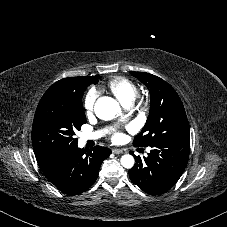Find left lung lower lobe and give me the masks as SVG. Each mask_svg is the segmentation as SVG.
<instances>
[{
  "label": "left lung lower lobe",
  "instance_id": "left-lung-lower-lobe-1",
  "mask_svg": "<svg viewBox=\"0 0 227 227\" xmlns=\"http://www.w3.org/2000/svg\"><path fill=\"white\" fill-rule=\"evenodd\" d=\"M138 147V146H136ZM151 152L129 170L131 181L144 192L160 195L171 189L184 172L190 151V140L161 142L149 145Z\"/></svg>",
  "mask_w": 227,
  "mask_h": 227
}]
</instances>
